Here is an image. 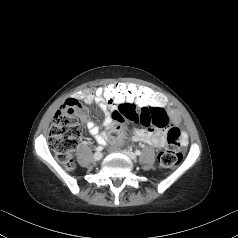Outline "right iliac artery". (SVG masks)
<instances>
[{"label": "right iliac artery", "instance_id": "obj_1", "mask_svg": "<svg viewBox=\"0 0 238 238\" xmlns=\"http://www.w3.org/2000/svg\"><path fill=\"white\" fill-rule=\"evenodd\" d=\"M102 149H103L102 146H98L95 150H96L97 152H99V151H102Z\"/></svg>", "mask_w": 238, "mask_h": 238}]
</instances>
